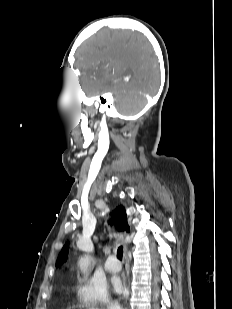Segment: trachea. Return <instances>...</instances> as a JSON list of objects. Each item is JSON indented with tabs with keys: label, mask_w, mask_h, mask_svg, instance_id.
I'll return each instance as SVG.
<instances>
[{
	"label": "trachea",
	"mask_w": 232,
	"mask_h": 309,
	"mask_svg": "<svg viewBox=\"0 0 232 309\" xmlns=\"http://www.w3.org/2000/svg\"><path fill=\"white\" fill-rule=\"evenodd\" d=\"M122 256H123V247L120 246V247H118V249H117V258H118L119 260H122Z\"/></svg>",
	"instance_id": "3493384b"
}]
</instances>
